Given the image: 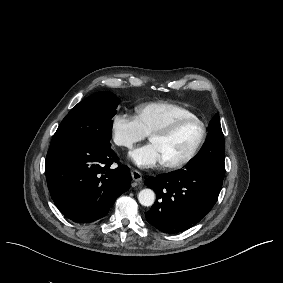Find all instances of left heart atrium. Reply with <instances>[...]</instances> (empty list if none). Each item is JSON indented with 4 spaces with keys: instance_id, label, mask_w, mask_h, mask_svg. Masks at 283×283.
<instances>
[{
    "instance_id": "39dd6f15",
    "label": "left heart atrium",
    "mask_w": 283,
    "mask_h": 283,
    "mask_svg": "<svg viewBox=\"0 0 283 283\" xmlns=\"http://www.w3.org/2000/svg\"><path fill=\"white\" fill-rule=\"evenodd\" d=\"M129 158L141 169H154L165 164L161 149L154 143L134 149L130 152Z\"/></svg>"
}]
</instances>
